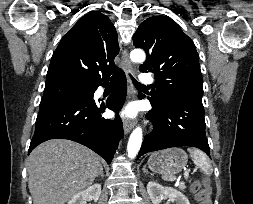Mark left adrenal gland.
I'll return each instance as SVG.
<instances>
[{
  "label": "left adrenal gland",
  "instance_id": "1",
  "mask_svg": "<svg viewBox=\"0 0 253 204\" xmlns=\"http://www.w3.org/2000/svg\"><path fill=\"white\" fill-rule=\"evenodd\" d=\"M143 173H148V170L146 169V165L143 167Z\"/></svg>",
  "mask_w": 253,
  "mask_h": 204
}]
</instances>
